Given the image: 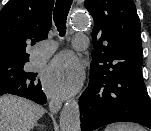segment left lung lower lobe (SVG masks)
Returning <instances> with one entry per match:
<instances>
[{"label":"left lung lower lobe","instance_id":"1","mask_svg":"<svg viewBox=\"0 0 151 131\" xmlns=\"http://www.w3.org/2000/svg\"><path fill=\"white\" fill-rule=\"evenodd\" d=\"M142 67L106 80L90 78L79 99L82 131L120 121L135 122L151 129V102L143 81Z\"/></svg>","mask_w":151,"mask_h":131}]
</instances>
